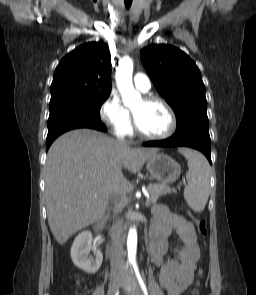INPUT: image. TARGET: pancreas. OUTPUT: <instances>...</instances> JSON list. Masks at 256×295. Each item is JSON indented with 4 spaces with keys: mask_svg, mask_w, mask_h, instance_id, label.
<instances>
[{
    "mask_svg": "<svg viewBox=\"0 0 256 295\" xmlns=\"http://www.w3.org/2000/svg\"><path fill=\"white\" fill-rule=\"evenodd\" d=\"M147 190L150 194V204H155L160 196L175 191L165 184H150L148 185Z\"/></svg>",
    "mask_w": 256,
    "mask_h": 295,
    "instance_id": "obj_1",
    "label": "pancreas"
}]
</instances>
